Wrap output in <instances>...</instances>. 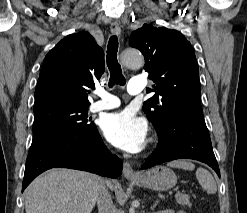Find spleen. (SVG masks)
I'll return each instance as SVG.
<instances>
[{
    "label": "spleen",
    "instance_id": "spleen-1",
    "mask_svg": "<svg viewBox=\"0 0 247 213\" xmlns=\"http://www.w3.org/2000/svg\"><path fill=\"white\" fill-rule=\"evenodd\" d=\"M168 166L174 167V168H180L183 170H194L195 165L191 162L184 161V160H177L168 163ZM196 178L199 182V184L204 188L207 193L209 194H215L217 191L216 182L213 178V176L210 174L209 171H207L204 168H198L196 171Z\"/></svg>",
    "mask_w": 247,
    "mask_h": 213
}]
</instances>
